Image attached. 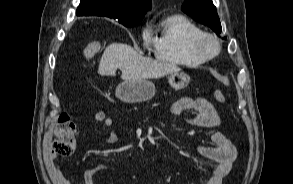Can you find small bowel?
<instances>
[{"label": "small bowel", "instance_id": "c3829d8e", "mask_svg": "<svg viewBox=\"0 0 293 184\" xmlns=\"http://www.w3.org/2000/svg\"><path fill=\"white\" fill-rule=\"evenodd\" d=\"M170 111L173 115L192 125L213 129L221 124L214 106L205 98H181L172 105ZM92 118L94 122L102 123L105 127L113 125V120L106 116L103 111H96ZM117 138L116 131L112 130L107 142L115 143ZM211 141L213 146H199L197 148L200 155L215 162L212 174L204 184H223V180L231 171L237 151L231 140L220 131L215 130L211 133ZM48 168L56 184H74L72 180L64 175L61 166L55 162L54 158L51 159ZM109 169L110 167L104 164L87 169L84 172V184H94V176Z\"/></svg>", "mask_w": 293, "mask_h": 184}]
</instances>
